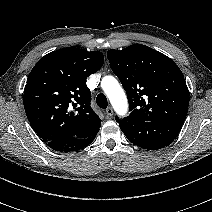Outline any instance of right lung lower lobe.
<instances>
[{
	"label": "right lung lower lobe",
	"instance_id": "obj_1",
	"mask_svg": "<svg viewBox=\"0 0 212 212\" xmlns=\"http://www.w3.org/2000/svg\"><path fill=\"white\" fill-rule=\"evenodd\" d=\"M96 135L87 138L77 136H65L59 139L51 140L46 144L53 150L58 152H72L83 149L91 144Z\"/></svg>",
	"mask_w": 212,
	"mask_h": 212
}]
</instances>
